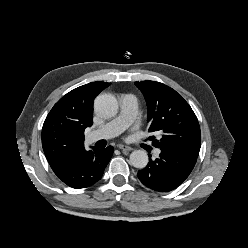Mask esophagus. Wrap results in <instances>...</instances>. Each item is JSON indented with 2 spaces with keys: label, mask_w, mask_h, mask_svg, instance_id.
I'll list each match as a JSON object with an SVG mask.
<instances>
[{
  "label": "esophagus",
  "mask_w": 248,
  "mask_h": 248,
  "mask_svg": "<svg viewBox=\"0 0 248 248\" xmlns=\"http://www.w3.org/2000/svg\"><path fill=\"white\" fill-rule=\"evenodd\" d=\"M118 148L122 151V152H129L132 150V148L130 146H127V145H119Z\"/></svg>",
  "instance_id": "1"
}]
</instances>
